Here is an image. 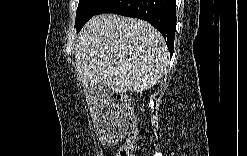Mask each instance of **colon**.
I'll return each mask as SVG.
<instances>
[{
    "mask_svg": "<svg viewBox=\"0 0 247 156\" xmlns=\"http://www.w3.org/2000/svg\"><path fill=\"white\" fill-rule=\"evenodd\" d=\"M119 111L115 113V122H122L128 127V135L117 149L115 156H130L134 153L138 138L136 119L132 113L131 101L128 95H118Z\"/></svg>",
    "mask_w": 247,
    "mask_h": 156,
    "instance_id": "colon-1",
    "label": "colon"
}]
</instances>
